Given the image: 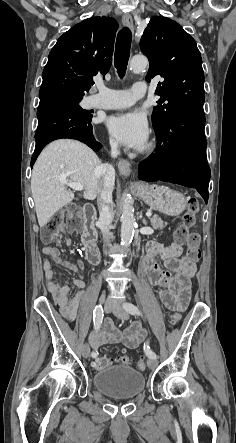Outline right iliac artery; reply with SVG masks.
<instances>
[{"label":"right iliac artery","mask_w":236,"mask_h":443,"mask_svg":"<svg viewBox=\"0 0 236 443\" xmlns=\"http://www.w3.org/2000/svg\"><path fill=\"white\" fill-rule=\"evenodd\" d=\"M103 308L101 305H97L93 311V322H94V328L95 330L99 329L102 320H103ZM92 357L95 358L97 357L98 353L97 352H92Z\"/></svg>","instance_id":"1"}]
</instances>
